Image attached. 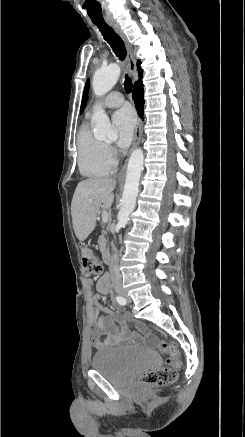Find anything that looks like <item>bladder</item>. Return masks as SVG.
I'll list each match as a JSON object with an SVG mask.
<instances>
[{
  "mask_svg": "<svg viewBox=\"0 0 245 437\" xmlns=\"http://www.w3.org/2000/svg\"><path fill=\"white\" fill-rule=\"evenodd\" d=\"M157 363L158 357L151 350L110 347L95 353L91 367L113 384L126 385Z\"/></svg>",
  "mask_w": 245,
  "mask_h": 437,
  "instance_id": "obj_1",
  "label": "bladder"
}]
</instances>
